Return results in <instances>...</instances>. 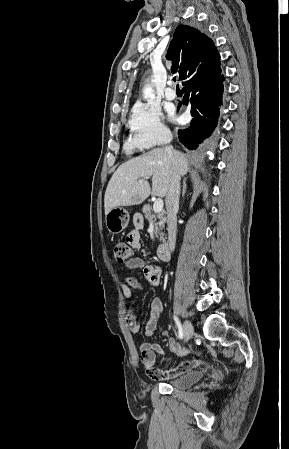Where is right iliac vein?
I'll return each mask as SVG.
<instances>
[{
    "label": "right iliac vein",
    "mask_w": 289,
    "mask_h": 449,
    "mask_svg": "<svg viewBox=\"0 0 289 449\" xmlns=\"http://www.w3.org/2000/svg\"><path fill=\"white\" fill-rule=\"evenodd\" d=\"M193 334H194L193 326L189 321L186 320L184 322V336L186 341H188L193 336Z\"/></svg>",
    "instance_id": "1"
}]
</instances>
